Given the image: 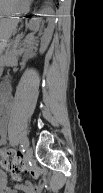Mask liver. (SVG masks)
Instances as JSON below:
<instances>
[{"label":"liver","instance_id":"liver-1","mask_svg":"<svg viewBox=\"0 0 103 193\" xmlns=\"http://www.w3.org/2000/svg\"><path fill=\"white\" fill-rule=\"evenodd\" d=\"M3 3H4V0H1V5H3Z\"/></svg>","mask_w":103,"mask_h":193}]
</instances>
